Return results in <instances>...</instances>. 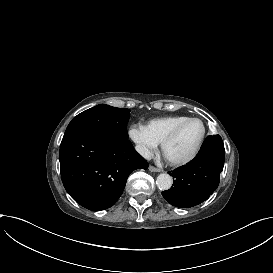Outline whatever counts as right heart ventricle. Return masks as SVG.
Listing matches in <instances>:
<instances>
[{
    "mask_svg": "<svg viewBox=\"0 0 273 273\" xmlns=\"http://www.w3.org/2000/svg\"><path fill=\"white\" fill-rule=\"evenodd\" d=\"M189 116L186 115H176V116H168L155 118L150 120L146 129L151 136V138L156 142L160 143L162 139L166 136V134L179 122L187 119Z\"/></svg>",
    "mask_w": 273,
    "mask_h": 273,
    "instance_id": "right-heart-ventricle-1",
    "label": "right heart ventricle"
}]
</instances>
